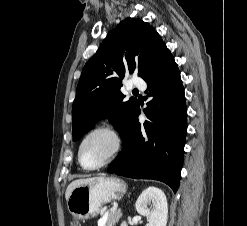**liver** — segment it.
Returning <instances> with one entry per match:
<instances>
[{"mask_svg": "<svg viewBox=\"0 0 247 226\" xmlns=\"http://www.w3.org/2000/svg\"><path fill=\"white\" fill-rule=\"evenodd\" d=\"M92 179H93V178H87V179H77V180H75V181H72V182L68 185V187H67V189H66V193H65V198H66V200H68V198H69V196H70L72 190H73L75 187H77L78 185H81V184H83V183L89 182V181H91Z\"/></svg>", "mask_w": 247, "mask_h": 226, "instance_id": "liver-1", "label": "liver"}]
</instances>
